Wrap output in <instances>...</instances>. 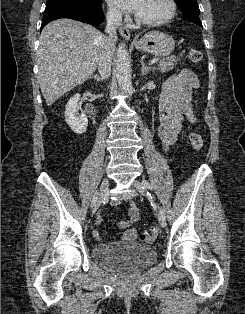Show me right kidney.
I'll list each match as a JSON object with an SVG mask.
<instances>
[{"label": "right kidney", "instance_id": "1", "mask_svg": "<svg viewBox=\"0 0 245 314\" xmlns=\"http://www.w3.org/2000/svg\"><path fill=\"white\" fill-rule=\"evenodd\" d=\"M80 94H75L65 109V121L76 134H82L87 130L88 118L84 112L79 113L81 105L79 104Z\"/></svg>", "mask_w": 245, "mask_h": 314}]
</instances>
